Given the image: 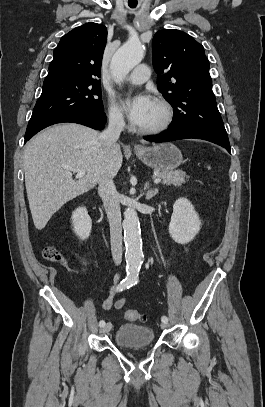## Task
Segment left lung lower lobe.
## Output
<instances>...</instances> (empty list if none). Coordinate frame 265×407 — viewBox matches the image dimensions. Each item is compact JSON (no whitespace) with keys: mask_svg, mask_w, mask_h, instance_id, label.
Segmentation results:
<instances>
[{"mask_svg":"<svg viewBox=\"0 0 265 407\" xmlns=\"http://www.w3.org/2000/svg\"><path fill=\"white\" fill-rule=\"evenodd\" d=\"M187 138H196V139H203L215 144H218L224 148H226L230 152V143L229 140H224L213 135H210L205 132H201L198 130L193 129H178V130H168L167 132L160 134V135H153L147 136L144 139L147 141H154V142H166L171 140H178V139H187Z\"/></svg>","mask_w":265,"mask_h":407,"instance_id":"0a47b994","label":"left lung lower lobe"}]
</instances>
